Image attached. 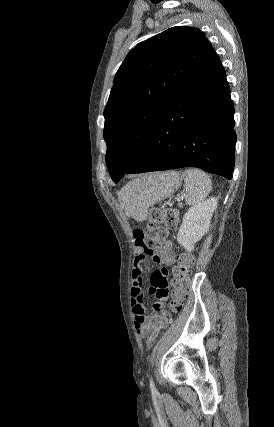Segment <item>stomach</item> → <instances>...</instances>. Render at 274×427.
Wrapping results in <instances>:
<instances>
[{"label":"stomach","mask_w":274,"mask_h":427,"mask_svg":"<svg viewBox=\"0 0 274 427\" xmlns=\"http://www.w3.org/2000/svg\"><path fill=\"white\" fill-rule=\"evenodd\" d=\"M183 180L179 172L147 174L135 182H130L121 192V200L129 215L135 219H146L147 210L159 200L169 198L179 188ZM147 182L148 186H141Z\"/></svg>","instance_id":"1"}]
</instances>
